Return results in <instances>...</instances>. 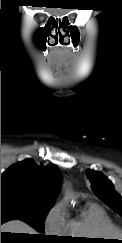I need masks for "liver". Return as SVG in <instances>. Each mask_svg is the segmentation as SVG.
Masks as SVG:
<instances>
[{
	"label": "liver",
	"instance_id": "6515ba94",
	"mask_svg": "<svg viewBox=\"0 0 122 243\" xmlns=\"http://www.w3.org/2000/svg\"><path fill=\"white\" fill-rule=\"evenodd\" d=\"M1 232L36 234L32 227L19 220L6 222L1 226Z\"/></svg>",
	"mask_w": 122,
	"mask_h": 243
}]
</instances>
